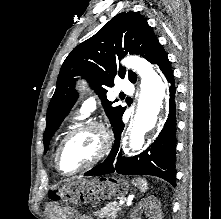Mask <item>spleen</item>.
<instances>
[{
	"instance_id": "1",
	"label": "spleen",
	"mask_w": 221,
	"mask_h": 219,
	"mask_svg": "<svg viewBox=\"0 0 221 219\" xmlns=\"http://www.w3.org/2000/svg\"><path fill=\"white\" fill-rule=\"evenodd\" d=\"M136 184L140 186L142 192H145L148 188L146 180L138 179L136 180Z\"/></svg>"
}]
</instances>
